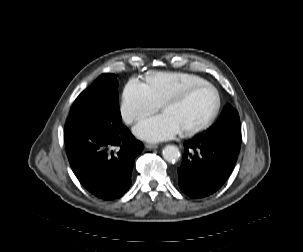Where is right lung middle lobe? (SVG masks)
I'll return each mask as SVG.
<instances>
[{
	"instance_id": "obj_1",
	"label": "right lung middle lobe",
	"mask_w": 303,
	"mask_h": 252,
	"mask_svg": "<svg viewBox=\"0 0 303 252\" xmlns=\"http://www.w3.org/2000/svg\"><path fill=\"white\" fill-rule=\"evenodd\" d=\"M118 82L114 74H103L75 100L70 118L97 116L121 121L118 103Z\"/></svg>"
}]
</instances>
